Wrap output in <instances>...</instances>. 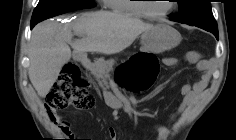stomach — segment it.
I'll use <instances>...</instances> for the list:
<instances>
[{"label":"stomach","mask_w":236,"mask_h":140,"mask_svg":"<svg viewBox=\"0 0 236 140\" xmlns=\"http://www.w3.org/2000/svg\"><path fill=\"white\" fill-rule=\"evenodd\" d=\"M181 34L166 23H159L141 36L142 53H162L171 50L181 42Z\"/></svg>","instance_id":"obj_1"}]
</instances>
